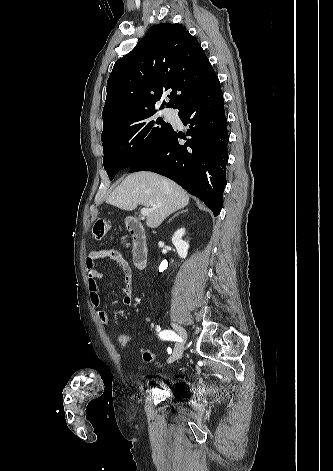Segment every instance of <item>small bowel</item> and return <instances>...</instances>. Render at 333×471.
I'll return each mask as SVG.
<instances>
[{
  "mask_svg": "<svg viewBox=\"0 0 333 471\" xmlns=\"http://www.w3.org/2000/svg\"><path fill=\"white\" fill-rule=\"evenodd\" d=\"M100 260H110L116 264L117 269L123 276V287L122 291L124 294L123 305L128 308L133 302V283H132V270L127 260L122 254L115 249H102L98 251L90 252L86 257V272L88 279V290L90 295V301L93 307L97 308V317L99 321L108 326L109 315L105 309L100 308L102 300L100 295L99 281L102 278V274L96 269V264ZM147 322L151 321V318L146 317Z\"/></svg>",
  "mask_w": 333,
  "mask_h": 471,
  "instance_id": "c3829d8e",
  "label": "small bowel"
}]
</instances>
